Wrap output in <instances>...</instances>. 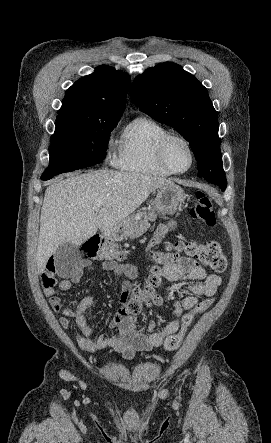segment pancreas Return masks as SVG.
<instances>
[{
  "mask_svg": "<svg viewBox=\"0 0 271 443\" xmlns=\"http://www.w3.org/2000/svg\"><path fill=\"white\" fill-rule=\"evenodd\" d=\"M143 218L144 220H136V218H134L131 225L135 227V233H130L129 237H137L142 231H146L147 227H149L150 220H155L157 216L154 212H147L146 216H143Z\"/></svg>",
  "mask_w": 271,
  "mask_h": 443,
  "instance_id": "obj_1",
  "label": "pancreas"
}]
</instances>
